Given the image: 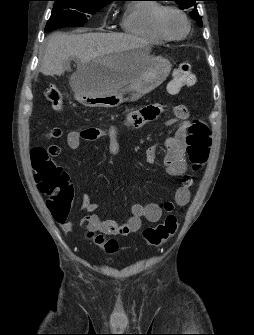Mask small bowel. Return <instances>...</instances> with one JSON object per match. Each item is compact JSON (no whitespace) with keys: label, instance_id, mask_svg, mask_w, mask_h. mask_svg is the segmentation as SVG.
<instances>
[{"label":"small bowel","instance_id":"1","mask_svg":"<svg viewBox=\"0 0 254 335\" xmlns=\"http://www.w3.org/2000/svg\"><path fill=\"white\" fill-rule=\"evenodd\" d=\"M193 84V83H192ZM191 84V85H192ZM170 109L174 118L166 120L167 126H175L176 131L172 138L166 141V155L164 165L166 172L172 176L181 178V186L177 188L174 195V203L165 202L163 206L156 203H148L142 205L133 203L131 205V215L125 223H120L115 220H104L94 212L98 209V204L92 202L89 194H84L82 208L89 214L82 219V223L87 224V228L92 233H102L105 235L127 236L130 233H135L140 230L142 219L149 222H157L161 218L163 211H171L174 204L185 206L190 200V186L192 179L187 174V162L185 158L187 128L190 125L189 112L184 104H171ZM161 108L158 105L145 106L139 110L131 112L126 123L139 127L146 122L153 120L159 114ZM63 131L60 127H53L49 132L50 139H60ZM102 138H107L109 141V149L114 157H118L121 152V147L117 138V130L115 126H111L106 130L98 128H87L82 130L70 131L67 135V144L71 150L79 148L82 141H94ZM51 144L48 148H52ZM157 156V147L150 146L146 149V160L148 163H154ZM55 220L65 233L73 230L74 224L60 215H54Z\"/></svg>","mask_w":254,"mask_h":335}]
</instances>
